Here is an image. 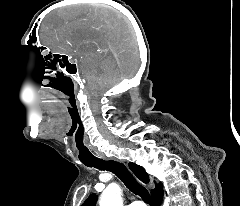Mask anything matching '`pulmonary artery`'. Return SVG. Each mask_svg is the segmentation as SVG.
<instances>
[{
  "label": "pulmonary artery",
  "instance_id": "obj_1",
  "mask_svg": "<svg viewBox=\"0 0 240 206\" xmlns=\"http://www.w3.org/2000/svg\"><path fill=\"white\" fill-rule=\"evenodd\" d=\"M129 206H145V204L142 203L141 201H134V202L130 203Z\"/></svg>",
  "mask_w": 240,
  "mask_h": 206
}]
</instances>
